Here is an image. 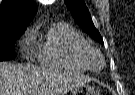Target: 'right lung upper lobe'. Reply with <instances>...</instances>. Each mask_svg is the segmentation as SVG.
<instances>
[{
    "label": "right lung upper lobe",
    "mask_w": 135,
    "mask_h": 95,
    "mask_svg": "<svg viewBox=\"0 0 135 95\" xmlns=\"http://www.w3.org/2000/svg\"><path fill=\"white\" fill-rule=\"evenodd\" d=\"M32 0H3L0 6V35L26 29L36 14Z\"/></svg>",
    "instance_id": "1"
}]
</instances>
